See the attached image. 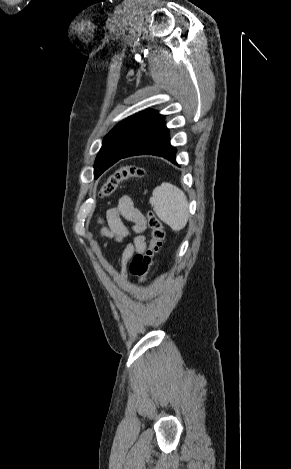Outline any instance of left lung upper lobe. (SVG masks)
Returning a JSON list of instances; mask_svg holds the SVG:
<instances>
[{
    "mask_svg": "<svg viewBox=\"0 0 291 469\" xmlns=\"http://www.w3.org/2000/svg\"><path fill=\"white\" fill-rule=\"evenodd\" d=\"M164 124V116L147 110L137 113L117 124L103 139L94 164V177L98 178L145 136Z\"/></svg>",
    "mask_w": 291,
    "mask_h": 469,
    "instance_id": "1",
    "label": "left lung upper lobe"
}]
</instances>
